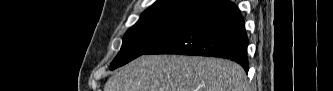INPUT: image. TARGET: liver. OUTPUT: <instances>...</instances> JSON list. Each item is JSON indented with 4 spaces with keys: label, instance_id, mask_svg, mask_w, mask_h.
Wrapping results in <instances>:
<instances>
[{
    "label": "liver",
    "instance_id": "1",
    "mask_svg": "<svg viewBox=\"0 0 333 91\" xmlns=\"http://www.w3.org/2000/svg\"><path fill=\"white\" fill-rule=\"evenodd\" d=\"M243 68L205 57L143 55L122 67L104 91H248Z\"/></svg>",
    "mask_w": 333,
    "mask_h": 91
}]
</instances>
